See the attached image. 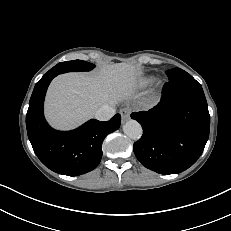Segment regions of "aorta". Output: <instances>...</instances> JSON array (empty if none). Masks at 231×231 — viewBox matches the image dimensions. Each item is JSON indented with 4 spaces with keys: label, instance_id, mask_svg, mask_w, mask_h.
<instances>
[{
    "label": "aorta",
    "instance_id": "obj_1",
    "mask_svg": "<svg viewBox=\"0 0 231 231\" xmlns=\"http://www.w3.org/2000/svg\"><path fill=\"white\" fill-rule=\"evenodd\" d=\"M124 133L133 140H138L143 133L142 126L136 120H129L123 126Z\"/></svg>",
    "mask_w": 231,
    "mask_h": 231
}]
</instances>
